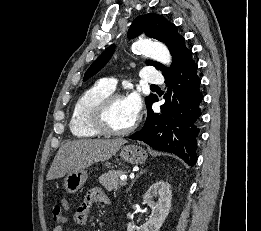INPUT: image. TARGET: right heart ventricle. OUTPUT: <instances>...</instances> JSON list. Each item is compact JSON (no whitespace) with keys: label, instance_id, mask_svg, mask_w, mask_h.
<instances>
[{"label":"right heart ventricle","instance_id":"1","mask_svg":"<svg viewBox=\"0 0 261 231\" xmlns=\"http://www.w3.org/2000/svg\"><path fill=\"white\" fill-rule=\"evenodd\" d=\"M113 91L104 84H97L85 91L75 103L70 115V130L78 138H90L102 135L91 123L94 106Z\"/></svg>","mask_w":261,"mask_h":231}]
</instances>
